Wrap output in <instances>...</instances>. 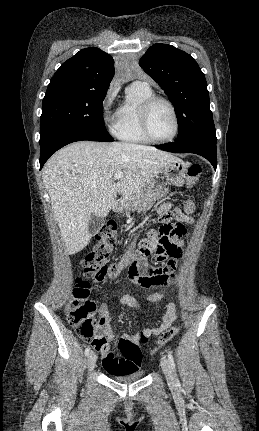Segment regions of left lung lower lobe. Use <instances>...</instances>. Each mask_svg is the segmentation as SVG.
Here are the masks:
<instances>
[{
  "instance_id": "1",
  "label": "left lung lower lobe",
  "mask_w": 259,
  "mask_h": 431,
  "mask_svg": "<svg viewBox=\"0 0 259 431\" xmlns=\"http://www.w3.org/2000/svg\"><path fill=\"white\" fill-rule=\"evenodd\" d=\"M216 142V138L196 136L189 139L176 140L174 143L156 145V147L171 152H189L201 155L206 158L216 170Z\"/></svg>"
}]
</instances>
